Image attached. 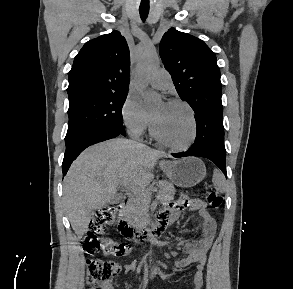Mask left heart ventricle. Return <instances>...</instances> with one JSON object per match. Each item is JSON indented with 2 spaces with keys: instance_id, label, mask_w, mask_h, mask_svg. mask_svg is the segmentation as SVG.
Instances as JSON below:
<instances>
[{
  "instance_id": "left-heart-ventricle-1",
  "label": "left heart ventricle",
  "mask_w": 293,
  "mask_h": 289,
  "mask_svg": "<svg viewBox=\"0 0 293 289\" xmlns=\"http://www.w3.org/2000/svg\"><path fill=\"white\" fill-rule=\"evenodd\" d=\"M159 136L174 144L186 143L192 131L188 110L177 104H160L152 113Z\"/></svg>"
}]
</instances>
